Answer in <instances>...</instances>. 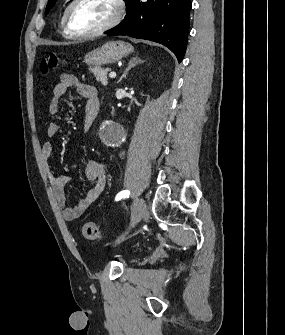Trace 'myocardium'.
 <instances>
[{"label":"myocardium","mask_w":285,"mask_h":335,"mask_svg":"<svg viewBox=\"0 0 285 335\" xmlns=\"http://www.w3.org/2000/svg\"><path fill=\"white\" fill-rule=\"evenodd\" d=\"M83 2L85 1H72L67 12V20H68L67 30L68 34L73 38H93L100 36L101 34L113 28L116 24H118L124 15V1H110V3L114 8V14L112 18L103 27L92 31L80 30L76 27L74 23V16L76 8L78 7L79 4Z\"/></svg>","instance_id":"obj_1"}]
</instances>
